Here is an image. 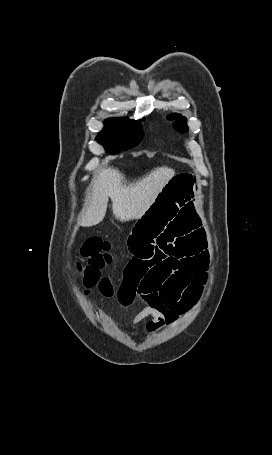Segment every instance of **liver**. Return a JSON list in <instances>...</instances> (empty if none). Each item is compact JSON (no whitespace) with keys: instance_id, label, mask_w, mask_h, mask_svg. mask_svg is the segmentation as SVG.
Wrapping results in <instances>:
<instances>
[{"instance_id":"obj_1","label":"liver","mask_w":272,"mask_h":455,"mask_svg":"<svg viewBox=\"0 0 272 455\" xmlns=\"http://www.w3.org/2000/svg\"><path fill=\"white\" fill-rule=\"evenodd\" d=\"M174 174L171 168L158 167L131 183L118 169L109 167L97 171L81 225L90 227L100 223L105 217L109 198L116 219L126 222L141 218Z\"/></svg>"}]
</instances>
